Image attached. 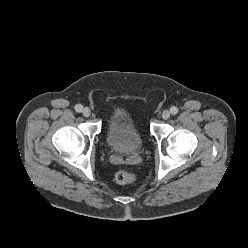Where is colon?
<instances>
[{"label":"colon","instance_id":"colon-1","mask_svg":"<svg viewBox=\"0 0 248 248\" xmlns=\"http://www.w3.org/2000/svg\"><path fill=\"white\" fill-rule=\"evenodd\" d=\"M115 179L119 184L128 185V184H133L134 182H136L137 177L134 173L130 171L121 170L116 173Z\"/></svg>","mask_w":248,"mask_h":248}]
</instances>
